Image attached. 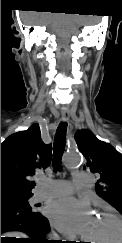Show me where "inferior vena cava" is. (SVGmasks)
Wrapping results in <instances>:
<instances>
[{"label":"inferior vena cava","mask_w":122,"mask_h":243,"mask_svg":"<svg viewBox=\"0 0 122 243\" xmlns=\"http://www.w3.org/2000/svg\"><path fill=\"white\" fill-rule=\"evenodd\" d=\"M50 237H52V238L54 237L55 238V235H50Z\"/></svg>","instance_id":"1"}]
</instances>
